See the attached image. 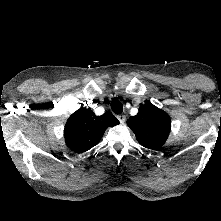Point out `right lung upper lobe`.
Wrapping results in <instances>:
<instances>
[{"instance_id":"obj_1","label":"right lung upper lobe","mask_w":221,"mask_h":221,"mask_svg":"<svg viewBox=\"0 0 221 221\" xmlns=\"http://www.w3.org/2000/svg\"><path fill=\"white\" fill-rule=\"evenodd\" d=\"M118 119L106 112L96 116L90 109L80 108L65 125V141L76 153H84L97 145L108 127L118 125Z\"/></svg>"}]
</instances>
